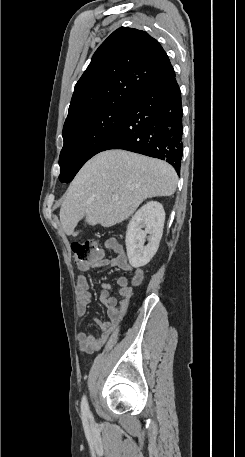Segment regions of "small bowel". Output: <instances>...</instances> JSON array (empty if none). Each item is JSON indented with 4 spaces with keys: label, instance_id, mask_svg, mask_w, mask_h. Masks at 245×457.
<instances>
[{
    "label": "small bowel",
    "instance_id": "obj_1",
    "mask_svg": "<svg viewBox=\"0 0 245 457\" xmlns=\"http://www.w3.org/2000/svg\"><path fill=\"white\" fill-rule=\"evenodd\" d=\"M105 249L116 254V257L106 259L103 250H99L97 256L91 260L78 264L80 271H88L92 268H120L132 273L130 281L125 277L117 280L119 287L120 299L110 296L111 285L102 284L100 301L107 307L109 321L95 319V323L101 328L102 332L96 336L88 331L78 333L77 339L79 349L88 354L99 351L105 344L113 343L117 340L120 331V325L127 313L133 289L139 287L144 279L143 270L129 263L128 257L122 245L116 239H108L105 242ZM77 314L80 317L85 316L87 306L91 301V291L88 279L79 275L77 278Z\"/></svg>",
    "mask_w": 245,
    "mask_h": 457
}]
</instances>
